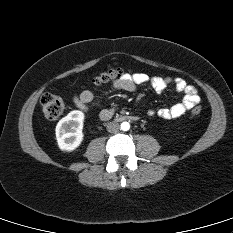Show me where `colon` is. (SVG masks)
<instances>
[{
	"label": "colon",
	"mask_w": 233,
	"mask_h": 233,
	"mask_svg": "<svg viewBox=\"0 0 233 233\" xmlns=\"http://www.w3.org/2000/svg\"><path fill=\"white\" fill-rule=\"evenodd\" d=\"M123 74L124 70L119 66L108 67L94 77L93 83L96 85L106 83L110 80L122 77ZM40 103L45 118L50 121L57 120L65 110V103L63 99L53 94H44L41 97ZM201 112L202 107L199 105L193 107L191 111L194 116L199 115Z\"/></svg>",
	"instance_id": "1"
}]
</instances>
